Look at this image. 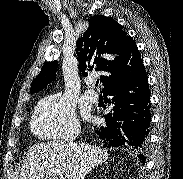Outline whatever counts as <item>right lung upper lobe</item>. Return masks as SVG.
<instances>
[{
    "label": "right lung upper lobe",
    "instance_id": "obj_1",
    "mask_svg": "<svg viewBox=\"0 0 183 179\" xmlns=\"http://www.w3.org/2000/svg\"><path fill=\"white\" fill-rule=\"evenodd\" d=\"M89 27L77 40L78 69L87 76L89 71L103 72L104 88L132 74L143 62L133 39L112 18L95 15ZM57 61L47 62L31 84V92H38L56 78ZM103 88V89H104Z\"/></svg>",
    "mask_w": 183,
    "mask_h": 179
}]
</instances>
